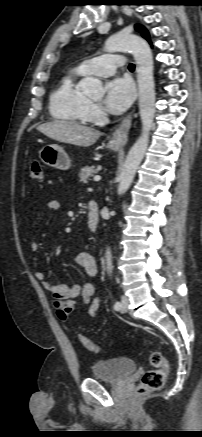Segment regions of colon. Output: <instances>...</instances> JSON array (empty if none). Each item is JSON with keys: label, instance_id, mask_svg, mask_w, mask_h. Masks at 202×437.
Wrapping results in <instances>:
<instances>
[{"label": "colon", "instance_id": "5ec220e1", "mask_svg": "<svg viewBox=\"0 0 202 437\" xmlns=\"http://www.w3.org/2000/svg\"><path fill=\"white\" fill-rule=\"evenodd\" d=\"M30 176L33 179L41 180L44 177L43 165L39 160H33L30 164ZM81 344L91 352H99L100 347L84 335H79ZM149 363L152 370L145 372L141 381L136 387L137 395H145L159 390L164 385L169 372L168 359L160 352H152L149 355Z\"/></svg>", "mask_w": 202, "mask_h": 437}]
</instances>
